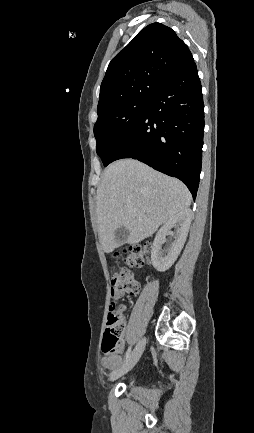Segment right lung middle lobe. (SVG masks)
<instances>
[{"instance_id": "obj_1", "label": "right lung middle lobe", "mask_w": 254, "mask_h": 433, "mask_svg": "<svg viewBox=\"0 0 254 433\" xmlns=\"http://www.w3.org/2000/svg\"><path fill=\"white\" fill-rule=\"evenodd\" d=\"M150 100L129 99L97 111L98 119L94 125L96 151L104 166L110 163L115 150L142 116Z\"/></svg>"}]
</instances>
